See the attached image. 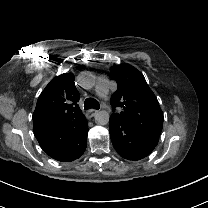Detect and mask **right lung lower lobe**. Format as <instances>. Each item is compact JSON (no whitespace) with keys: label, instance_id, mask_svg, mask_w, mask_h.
Segmentation results:
<instances>
[{"label":"right lung lower lobe","instance_id":"1","mask_svg":"<svg viewBox=\"0 0 208 208\" xmlns=\"http://www.w3.org/2000/svg\"><path fill=\"white\" fill-rule=\"evenodd\" d=\"M88 122L82 116L63 128L35 132L41 148L53 159L71 162L78 159L87 144Z\"/></svg>","mask_w":208,"mask_h":208}]
</instances>
